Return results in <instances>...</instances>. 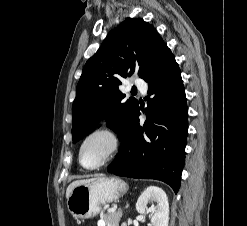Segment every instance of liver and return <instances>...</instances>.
Instances as JSON below:
<instances>
[{"label": "liver", "instance_id": "obj_1", "mask_svg": "<svg viewBox=\"0 0 247 226\" xmlns=\"http://www.w3.org/2000/svg\"><path fill=\"white\" fill-rule=\"evenodd\" d=\"M88 181H90V179H86V180H77V181L72 182V183L68 186V188H67V190H66V198L69 197V195H70V193H71V191H72V189H73L74 187H76L77 185H80V184H82V183L88 182Z\"/></svg>", "mask_w": 247, "mask_h": 226}]
</instances>
